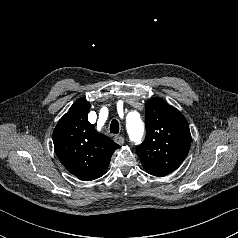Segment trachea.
I'll return each mask as SVG.
<instances>
[{"mask_svg":"<svg viewBox=\"0 0 238 238\" xmlns=\"http://www.w3.org/2000/svg\"><path fill=\"white\" fill-rule=\"evenodd\" d=\"M110 132L114 133V134L119 133V123L116 119L112 120V122L110 124Z\"/></svg>","mask_w":238,"mask_h":238,"instance_id":"obj_1","label":"trachea"}]
</instances>
